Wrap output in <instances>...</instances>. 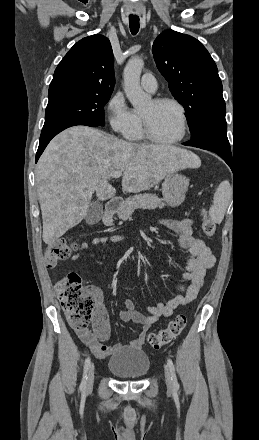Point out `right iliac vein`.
<instances>
[{
	"mask_svg": "<svg viewBox=\"0 0 259 440\" xmlns=\"http://www.w3.org/2000/svg\"><path fill=\"white\" fill-rule=\"evenodd\" d=\"M94 377H95V367L94 364H90L88 375H87V381H86V389L90 390L94 383Z\"/></svg>",
	"mask_w": 259,
	"mask_h": 440,
	"instance_id": "obj_1",
	"label": "right iliac vein"
}]
</instances>
